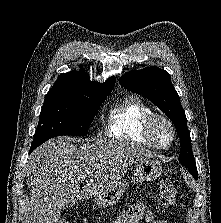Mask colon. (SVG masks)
I'll use <instances>...</instances> for the list:
<instances>
[{"instance_id": "5ec220e1", "label": "colon", "mask_w": 221, "mask_h": 223, "mask_svg": "<svg viewBox=\"0 0 221 223\" xmlns=\"http://www.w3.org/2000/svg\"><path fill=\"white\" fill-rule=\"evenodd\" d=\"M177 195L178 190L172 182L163 180L160 183L158 193V202L160 206H162L163 208L171 207L174 204ZM56 223H70V221L66 217H61L57 220Z\"/></svg>"}]
</instances>
